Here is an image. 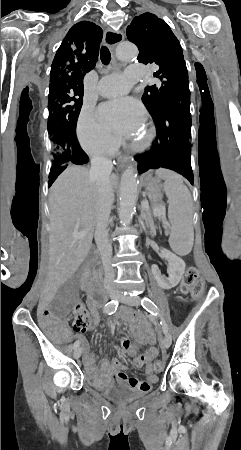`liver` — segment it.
<instances>
[{"instance_id":"6515ba94","label":"liver","mask_w":241,"mask_h":450,"mask_svg":"<svg viewBox=\"0 0 241 450\" xmlns=\"http://www.w3.org/2000/svg\"><path fill=\"white\" fill-rule=\"evenodd\" d=\"M89 168L68 166L50 188L51 232L49 262L42 298L51 300L90 252L99 214L96 182L89 180ZM112 192L118 186L115 174L109 176ZM87 230L86 238H73V232Z\"/></svg>"}]
</instances>
